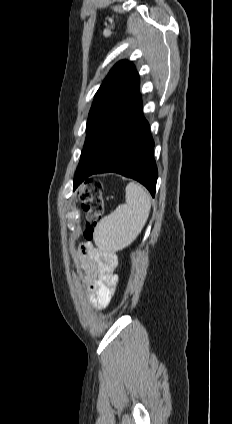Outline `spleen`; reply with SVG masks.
<instances>
[{"label":"spleen","mask_w":232,"mask_h":424,"mask_svg":"<svg viewBox=\"0 0 232 424\" xmlns=\"http://www.w3.org/2000/svg\"><path fill=\"white\" fill-rule=\"evenodd\" d=\"M126 203L103 217L94 230L97 247L114 252L129 246L143 229L151 209L148 192L140 184L126 186Z\"/></svg>","instance_id":"spleen-1"}]
</instances>
